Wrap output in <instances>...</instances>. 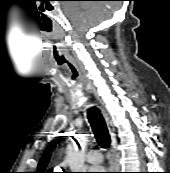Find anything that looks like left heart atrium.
<instances>
[{
	"label": "left heart atrium",
	"mask_w": 170,
	"mask_h": 173,
	"mask_svg": "<svg viewBox=\"0 0 170 173\" xmlns=\"http://www.w3.org/2000/svg\"><path fill=\"white\" fill-rule=\"evenodd\" d=\"M91 172H93V173H102V172H104L103 170H104V168H101V167H92L91 168Z\"/></svg>",
	"instance_id": "obj_1"
}]
</instances>
